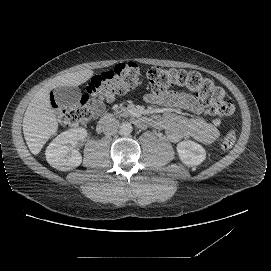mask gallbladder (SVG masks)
<instances>
[{
  "label": "gallbladder",
  "mask_w": 271,
  "mask_h": 271,
  "mask_svg": "<svg viewBox=\"0 0 271 271\" xmlns=\"http://www.w3.org/2000/svg\"><path fill=\"white\" fill-rule=\"evenodd\" d=\"M55 93L58 105L66 111L77 109L81 103V95L79 91L73 87H56Z\"/></svg>",
  "instance_id": "obj_1"
}]
</instances>
